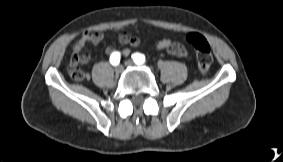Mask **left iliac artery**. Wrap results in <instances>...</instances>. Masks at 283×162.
Segmentation results:
<instances>
[{
  "instance_id": "44dca946",
  "label": "left iliac artery",
  "mask_w": 283,
  "mask_h": 162,
  "mask_svg": "<svg viewBox=\"0 0 283 162\" xmlns=\"http://www.w3.org/2000/svg\"><path fill=\"white\" fill-rule=\"evenodd\" d=\"M132 58L136 64H143L145 62V56L140 53H134Z\"/></svg>"
}]
</instances>
